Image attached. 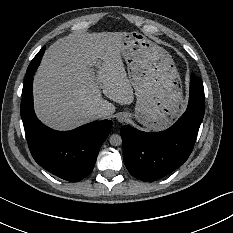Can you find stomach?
<instances>
[{
  "mask_svg": "<svg viewBox=\"0 0 233 233\" xmlns=\"http://www.w3.org/2000/svg\"><path fill=\"white\" fill-rule=\"evenodd\" d=\"M117 47L136 97L129 119L147 132L167 129L185 110L182 80L172 56L139 31L126 33Z\"/></svg>",
  "mask_w": 233,
  "mask_h": 233,
  "instance_id": "1",
  "label": "stomach"
}]
</instances>
